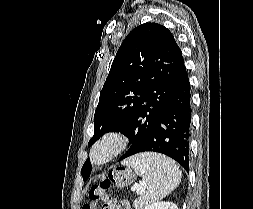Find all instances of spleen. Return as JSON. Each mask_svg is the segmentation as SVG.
Masks as SVG:
<instances>
[{
	"instance_id": "3e777b00",
	"label": "spleen",
	"mask_w": 253,
	"mask_h": 209,
	"mask_svg": "<svg viewBox=\"0 0 253 209\" xmlns=\"http://www.w3.org/2000/svg\"><path fill=\"white\" fill-rule=\"evenodd\" d=\"M130 166L142 177L141 187L146 190L134 201L136 209H143L170 194L181 182L179 166L170 158L157 153H141L126 159Z\"/></svg>"
}]
</instances>
